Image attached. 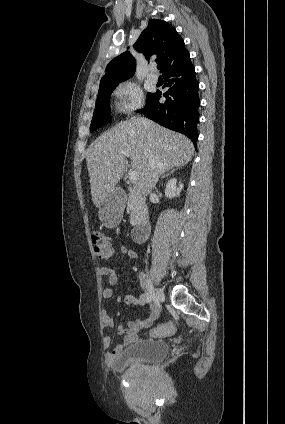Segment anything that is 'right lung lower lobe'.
<instances>
[{
    "instance_id": "right-lung-lower-lobe-1",
    "label": "right lung lower lobe",
    "mask_w": 285,
    "mask_h": 424,
    "mask_svg": "<svg viewBox=\"0 0 285 424\" xmlns=\"http://www.w3.org/2000/svg\"><path fill=\"white\" fill-rule=\"evenodd\" d=\"M163 76L167 81L165 87H170L169 90L164 94L160 91L153 93L145 107L138 112L168 129L186 135L195 145L198 139L200 100L199 83L190 57ZM161 97L166 98L164 103H159Z\"/></svg>"
}]
</instances>
